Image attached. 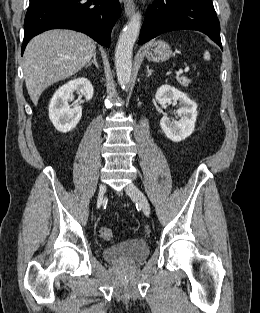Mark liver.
<instances>
[{"instance_id":"liver-1","label":"liver","mask_w":260,"mask_h":313,"mask_svg":"<svg viewBox=\"0 0 260 313\" xmlns=\"http://www.w3.org/2000/svg\"><path fill=\"white\" fill-rule=\"evenodd\" d=\"M96 53L89 36L72 30H50L34 37L24 52L23 73L32 102L53 83L77 73Z\"/></svg>"}]
</instances>
